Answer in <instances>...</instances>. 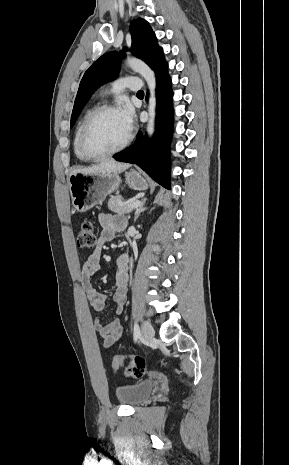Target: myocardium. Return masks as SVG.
Instances as JSON below:
<instances>
[{
  "label": "myocardium",
  "mask_w": 289,
  "mask_h": 465,
  "mask_svg": "<svg viewBox=\"0 0 289 465\" xmlns=\"http://www.w3.org/2000/svg\"><path fill=\"white\" fill-rule=\"evenodd\" d=\"M118 111L117 107L113 105H102L95 108L86 118L80 135V151L82 155L88 160H99L105 157H109L115 155L124 149H126L131 141H132V134L129 133L126 140L118 147L107 150L104 152H95L90 148V135L92 131V127L95 121L104 113Z\"/></svg>",
  "instance_id": "obj_1"
}]
</instances>
